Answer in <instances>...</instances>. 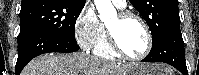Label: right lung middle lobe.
Listing matches in <instances>:
<instances>
[{
    "mask_svg": "<svg viewBox=\"0 0 199 75\" xmlns=\"http://www.w3.org/2000/svg\"><path fill=\"white\" fill-rule=\"evenodd\" d=\"M83 7L61 0L22 4L19 35L41 31L76 44L75 23Z\"/></svg>",
    "mask_w": 199,
    "mask_h": 75,
    "instance_id": "1",
    "label": "right lung middle lobe"
}]
</instances>
